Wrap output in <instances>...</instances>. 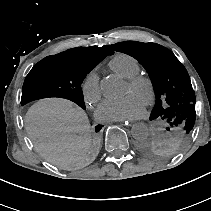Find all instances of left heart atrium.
<instances>
[{
	"mask_svg": "<svg viewBox=\"0 0 211 211\" xmlns=\"http://www.w3.org/2000/svg\"><path fill=\"white\" fill-rule=\"evenodd\" d=\"M145 104L134 94L121 98L105 99L96 109L100 121L137 119L144 115Z\"/></svg>",
	"mask_w": 211,
	"mask_h": 211,
	"instance_id": "obj_1",
	"label": "left heart atrium"
}]
</instances>
